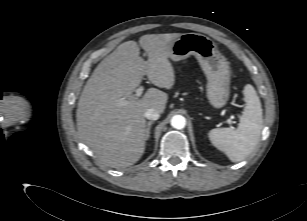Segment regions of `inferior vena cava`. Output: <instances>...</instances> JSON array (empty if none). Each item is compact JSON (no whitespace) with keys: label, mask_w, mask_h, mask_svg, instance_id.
<instances>
[{"label":"inferior vena cava","mask_w":307,"mask_h":221,"mask_svg":"<svg viewBox=\"0 0 307 221\" xmlns=\"http://www.w3.org/2000/svg\"><path fill=\"white\" fill-rule=\"evenodd\" d=\"M144 117L149 120H158L160 117V112L155 108H149L145 111Z\"/></svg>","instance_id":"1"}]
</instances>
